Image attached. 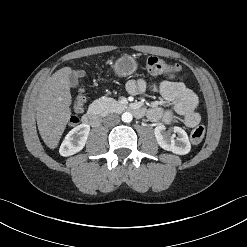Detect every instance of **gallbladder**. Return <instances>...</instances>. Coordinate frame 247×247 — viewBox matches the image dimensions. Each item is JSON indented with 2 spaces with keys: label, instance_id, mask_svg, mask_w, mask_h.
<instances>
[{
  "label": "gallbladder",
  "instance_id": "gallbladder-1",
  "mask_svg": "<svg viewBox=\"0 0 247 247\" xmlns=\"http://www.w3.org/2000/svg\"><path fill=\"white\" fill-rule=\"evenodd\" d=\"M84 75H85V73L83 71L71 73L69 76L71 87H73V88L77 87L79 84L78 77L84 76Z\"/></svg>",
  "mask_w": 247,
  "mask_h": 247
}]
</instances>
